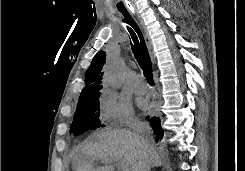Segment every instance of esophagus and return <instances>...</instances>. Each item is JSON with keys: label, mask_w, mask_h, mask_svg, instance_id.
<instances>
[{"label": "esophagus", "mask_w": 245, "mask_h": 171, "mask_svg": "<svg viewBox=\"0 0 245 171\" xmlns=\"http://www.w3.org/2000/svg\"><path fill=\"white\" fill-rule=\"evenodd\" d=\"M125 6H126L127 10L133 15V17L135 18L139 27L141 28L143 36H144V40H145V43L147 45V49H148V52L150 55V58H151L152 62L155 63V55H154V50H153V44H152L151 38L149 36V33H148L145 25L143 24L140 17H138V15L136 13H134V9L132 6H130L128 4H126Z\"/></svg>", "instance_id": "34e87169"}]
</instances>
